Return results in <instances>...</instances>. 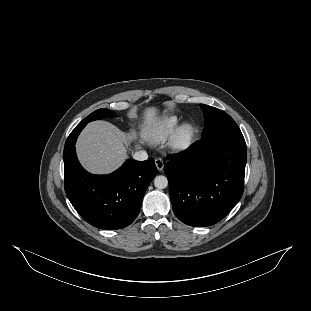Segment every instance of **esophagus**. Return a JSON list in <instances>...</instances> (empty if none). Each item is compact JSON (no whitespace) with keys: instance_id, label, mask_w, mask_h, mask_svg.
<instances>
[{"instance_id":"34e87169","label":"esophagus","mask_w":311,"mask_h":311,"mask_svg":"<svg viewBox=\"0 0 311 311\" xmlns=\"http://www.w3.org/2000/svg\"><path fill=\"white\" fill-rule=\"evenodd\" d=\"M155 165H156L158 171H162L164 168V161L161 158H156L155 159Z\"/></svg>"}]
</instances>
